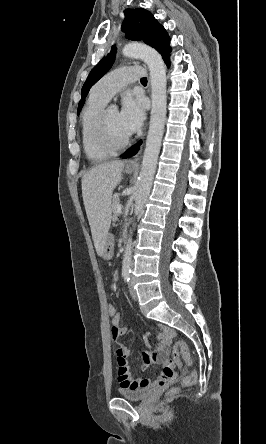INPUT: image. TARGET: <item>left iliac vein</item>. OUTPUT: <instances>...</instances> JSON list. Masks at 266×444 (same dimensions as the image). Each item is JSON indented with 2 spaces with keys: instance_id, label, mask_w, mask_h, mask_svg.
<instances>
[{
  "instance_id": "left-iliac-vein-1",
  "label": "left iliac vein",
  "mask_w": 266,
  "mask_h": 444,
  "mask_svg": "<svg viewBox=\"0 0 266 444\" xmlns=\"http://www.w3.org/2000/svg\"><path fill=\"white\" fill-rule=\"evenodd\" d=\"M129 291H130V295H131L132 299L133 300H137L138 299L137 292L134 289V286H133L132 282L129 283Z\"/></svg>"
}]
</instances>
